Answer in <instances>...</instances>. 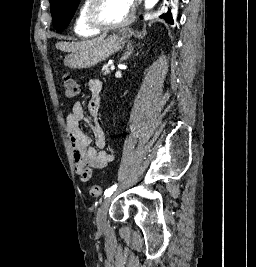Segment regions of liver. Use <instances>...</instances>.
<instances>
[{
  "label": "liver",
  "instance_id": "obj_1",
  "mask_svg": "<svg viewBox=\"0 0 256 267\" xmlns=\"http://www.w3.org/2000/svg\"><path fill=\"white\" fill-rule=\"evenodd\" d=\"M105 36H100V38H93V40H84V42H58L56 44L57 50H62V52H83L86 46H96L104 40Z\"/></svg>",
  "mask_w": 256,
  "mask_h": 267
}]
</instances>
